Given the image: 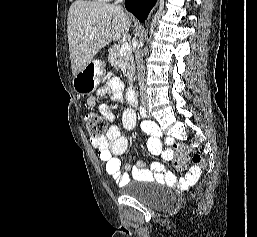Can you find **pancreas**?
Returning a JSON list of instances; mask_svg holds the SVG:
<instances>
[{"label": "pancreas", "mask_w": 257, "mask_h": 237, "mask_svg": "<svg viewBox=\"0 0 257 237\" xmlns=\"http://www.w3.org/2000/svg\"><path fill=\"white\" fill-rule=\"evenodd\" d=\"M119 50H120L119 45L117 44L112 45L108 52V59L110 61L116 62L117 64H120L121 62L125 63V66L127 69L128 82L129 84H131L135 73L134 56H133L132 50L123 54H120Z\"/></svg>", "instance_id": "pancreas-1"}]
</instances>
